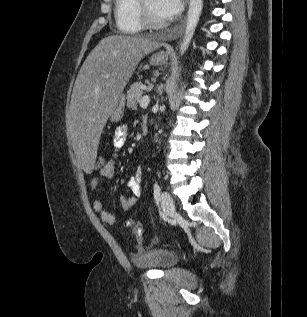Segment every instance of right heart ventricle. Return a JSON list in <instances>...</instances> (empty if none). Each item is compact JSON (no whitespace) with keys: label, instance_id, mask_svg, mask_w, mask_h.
Listing matches in <instances>:
<instances>
[{"label":"right heart ventricle","instance_id":"1","mask_svg":"<svg viewBox=\"0 0 307 317\" xmlns=\"http://www.w3.org/2000/svg\"><path fill=\"white\" fill-rule=\"evenodd\" d=\"M114 6L116 26L120 32L134 34L144 28L138 0H115Z\"/></svg>","mask_w":307,"mask_h":317}]
</instances>
